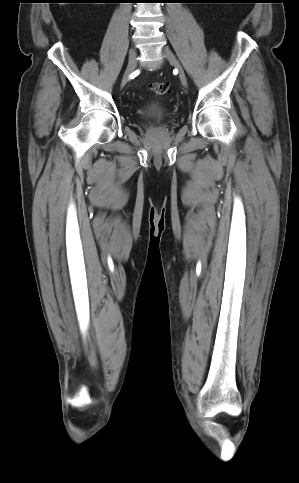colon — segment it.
<instances>
[{
    "label": "colon",
    "instance_id": "1",
    "mask_svg": "<svg viewBox=\"0 0 299 483\" xmlns=\"http://www.w3.org/2000/svg\"><path fill=\"white\" fill-rule=\"evenodd\" d=\"M151 90L153 91L154 94L156 95H164L168 93L169 91V83L168 82H154L150 85Z\"/></svg>",
    "mask_w": 299,
    "mask_h": 483
}]
</instances>
